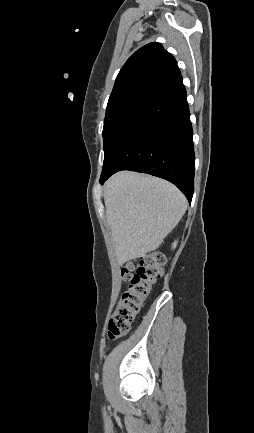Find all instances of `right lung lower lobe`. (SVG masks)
Returning a JSON list of instances; mask_svg holds the SVG:
<instances>
[{"mask_svg": "<svg viewBox=\"0 0 254 433\" xmlns=\"http://www.w3.org/2000/svg\"><path fill=\"white\" fill-rule=\"evenodd\" d=\"M193 131L182 76L148 99L122 129L100 183L120 170L148 173L175 184L191 203L194 192Z\"/></svg>", "mask_w": 254, "mask_h": 433, "instance_id": "1", "label": "right lung lower lobe"}]
</instances>
